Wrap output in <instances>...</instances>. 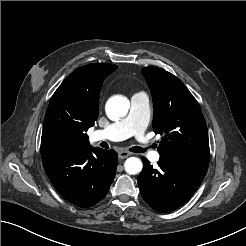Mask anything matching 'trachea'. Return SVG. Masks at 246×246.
<instances>
[{
    "instance_id": "1",
    "label": "trachea",
    "mask_w": 246,
    "mask_h": 246,
    "mask_svg": "<svg viewBox=\"0 0 246 246\" xmlns=\"http://www.w3.org/2000/svg\"><path fill=\"white\" fill-rule=\"evenodd\" d=\"M104 143H105V142H104ZM105 146L108 147L106 143H105ZM103 147H104V146H103ZM130 151H132V152H134V153H141V152H143V149H142L141 147L135 146V147H132V148L130 149Z\"/></svg>"
}]
</instances>
